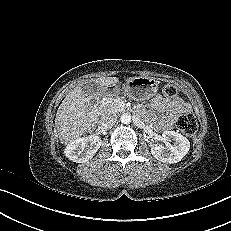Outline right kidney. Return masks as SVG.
Masks as SVG:
<instances>
[{"label": "right kidney", "mask_w": 231, "mask_h": 231, "mask_svg": "<svg viewBox=\"0 0 231 231\" xmlns=\"http://www.w3.org/2000/svg\"><path fill=\"white\" fill-rule=\"evenodd\" d=\"M101 146V138L95 135L78 138L66 146V157L73 162L85 163L93 158Z\"/></svg>", "instance_id": "obj_1"}]
</instances>
